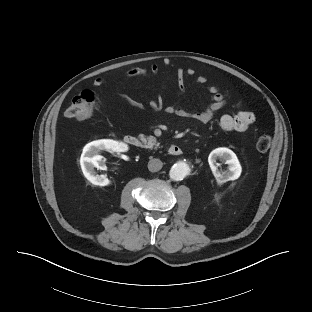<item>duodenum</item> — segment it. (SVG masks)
Segmentation results:
<instances>
[{
  "mask_svg": "<svg viewBox=\"0 0 312 312\" xmlns=\"http://www.w3.org/2000/svg\"><path fill=\"white\" fill-rule=\"evenodd\" d=\"M124 142L132 147L140 148L144 145L143 141L135 135H126L124 137ZM169 153L174 156H179L182 154V148L179 145H172L169 148Z\"/></svg>",
  "mask_w": 312,
  "mask_h": 312,
  "instance_id": "obj_1",
  "label": "duodenum"
}]
</instances>
